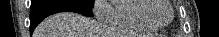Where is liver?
<instances>
[{
  "instance_id": "6515ba94",
  "label": "liver",
  "mask_w": 219,
  "mask_h": 37,
  "mask_svg": "<svg viewBox=\"0 0 219 37\" xmlns=\"http://www.w3.org/2000/svg\"><path fill=\"white\" fill-rule=\"evenodd\" d=\"M101 27L97 21L78 13L61 12L44 19L36 27L33 37H100L99 35H108L109 33H104Z\"/></svg>"
}]
</instances>
